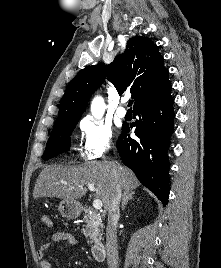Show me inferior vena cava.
Returning a JSON list of instances; mask_svg holds the SVG:
<instances>
[{
  "instance_id": "inferior-vena-cava-1",
  "label": "inferior vena cava",
  "mask_w": 221,
  "mask_h": 268,
  "mask_svg": "<svg viewBox=\"0 0 221 268\" xmlns=\"http://www.w3.org/2000/svg\"><path fill=\"white\" fill-rule=\"evenodd\" d=\"M114 182L110 195V204L108 208V225L106 228V251L107 264L109 268L118 267V250H117V223L120 217V199L122 196V188L118 183L115 169H113Z\"/></svg>"
}]
</instances>
